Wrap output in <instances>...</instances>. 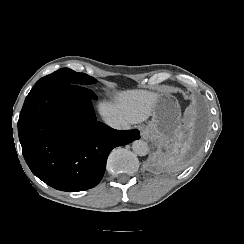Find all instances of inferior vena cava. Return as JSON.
Instances as JSON below:
<instances>
[{
	"label": "inferior vena cava",
	"mask_w": 244,
	"mask_h": 244,
	"mask_svg": "<svg viewBox=\"0 0 244 244\" xmlns=\"http://www.w3.org/2000/svg\"><path fill=\"white\" fill-rule=\"evenodd\" d=\"M103 120L105 121V123L107 125H109L110 127L114 128V129H129L130 128V126L128 125V123L125 120H119L115 117L105 116V117H103Z\"/></svg>",
	"instance_id": "inferior-vena-cava-1"
}]
</instances>
